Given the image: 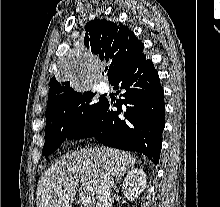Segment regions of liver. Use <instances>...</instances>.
<instances>
[{
    "label": "liver",
    "instance_id": "1",
    "mask_svg": "<svg viewBox=\"0 0 220 207\" xmlns=\"http://www.w3.org/2000/svg\"><path fill=\"white\" fill-rule=\"evenodd\" d=\"M135 162L131 154L114 148L87 147L66 154L41 176L37 207H72L77 192L94 196L104 175L123 176Z\"/></svg>",
    "mask_w": 220,
    "mask_h": 207
}]
</instances>
